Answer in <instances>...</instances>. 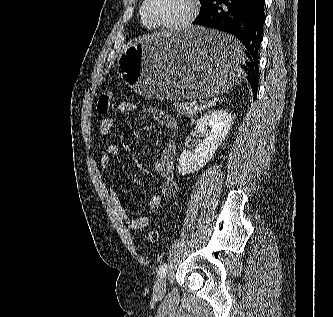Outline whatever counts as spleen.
Here are the masks:
<instances>
[{"label": "spleen", "instance_id": "1", "mask_svg": "<svg viewBox=\"0 0 333 317\" xmlns=\"http://www.w3.org/2000/svg\"><path fill=\"white\" fill-rule=\"evenodd\" d=\"M230 44H232V46H233L234 48H237V51H238V53H239V55H240V53H241V50H240V44L236 41V39L232 38V41L230 42ZM243 76H244V72H243V70L240 69V68H238V69H237V78H238V77H243Z\"/></svg>", "mask_w": 333, "mask_h": 317}]
</instances>
